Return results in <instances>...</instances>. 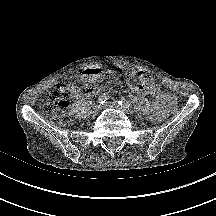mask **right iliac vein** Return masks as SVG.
I'll return each instance as SVG.
<instances>
[{
	"mask_svg": "<svg viewBox=\"0 0 216 216\" xmlns=\"http://www.w3.org/2000/svg\"><path fill=\"white\" fill-rule=\"evenodd\" d=\"M101 110V105L100 104H96L93 106V108L91 109V114L92 115H97L99 113V111Z\"/></svg>",
	"mask_w": 216,
	"mask_h": 216,
	"instance_id": "1",
	"label": "right iliac vein"
}]
</instances>
